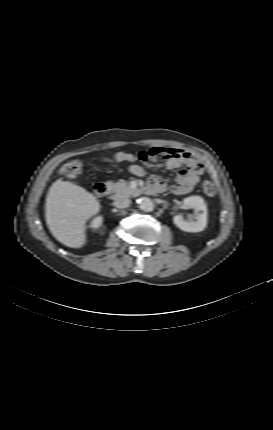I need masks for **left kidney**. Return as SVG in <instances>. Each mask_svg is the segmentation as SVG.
Listing matches in <instances>:
<instances>
[{
  "label": "left kidney",
  "mask_w": 273,
  "mask_h": 430,
  "mask_svg": "<svg viewBox=\"0 0 273 430\" xmlns=\"http://www.w3.org/2000/svg\"><path fill=\"white\" fill-rule=\"evenodd\" d=\"M184 205L194 209V215L185 219L181 214L173 217L174 224L185 232H201L207 226V206L200 196H191L183 200Z\"/></svg>",
  "instance_id": "obj_1"
}]
</instances>
